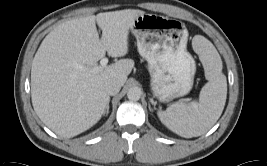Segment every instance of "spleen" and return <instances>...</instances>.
Here are the masks:
<instances>
[{"mask_svg":"<svg viewBox=\"0 0 267 166\" xmlns=\"http://www.w3.org/2000/svg\"><path fill=\"white\" fill-rule=\"evenodd\" d=\"M196 50L208 79L199 100L189 104L175 103L157 113L168 129L185 138L206 133L221 116L227 97V80L216 48L208 40L199 38Z\"/></svg>","mask_w":267,"mask_h":166,"instance_id":"1","label":"spleen"}]
</instances>
